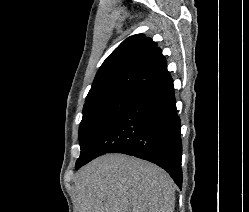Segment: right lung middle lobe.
<instances>
[{
    "instance_id": "1",
    "label": "right lung middle lobe",
    "mask_w": 249,
    "mask_h": 212,
    "mask_svg": "<svg viewBox=\"0 0 249 212\" xmlns=\"http://www.w3.org/2000/svg\"><path fill=\"white\" fill-rule=\"evenodd\" d=\"M138 96L134 92H110L85 101L79 126L81 153L76 161V169L88 157L94 144L114 118Z\"/></svg>"
}]
</instances>
